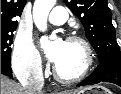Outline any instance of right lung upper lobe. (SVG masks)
Listing matches in <instances>:
<instances>
[{"label": "right lung upper lobe", "instance_id": "1", "mask_svg": "<svg viewBox=\"0 0 121 94\" xmlns=\"http://www.w3.org/2000/svg\"><path fill=\"white\" fill-rule=\"evenodd\" d=\"M26 0H1V31L16 30L14 17L21 16Z\"/></svg>", "mask_w": 121, "mask_h": 94}]
</instances>
